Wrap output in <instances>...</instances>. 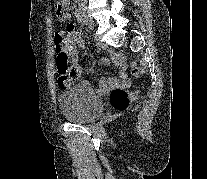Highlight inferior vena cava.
Segmentation results:
<instances>
[{
    "mask_svg": "<svg viewBox=\"0 0 207 179\" xmlns=\"http://www.w3.org/2000/svg\"><path fill=\"white\" fill-rule=\"evenodd\" d=\"M78 1H80V2H84V3H85L87 0H78Z\"/></svg>",
    "mask_w": 207,
    "mask_h": 179,
    "instance_id": "obj_1",
    "label": "inferior vena cava"
}]
</instances>
